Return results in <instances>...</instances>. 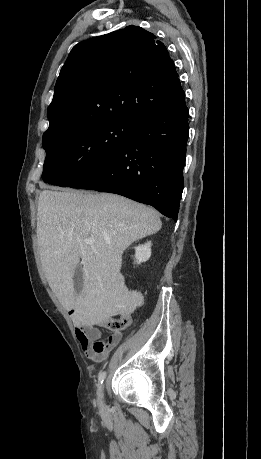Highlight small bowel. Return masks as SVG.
I'll use <instances>...</instances> for the list:
<instances>
[{
	"mask_svg": "<svg viewBox=\"0 0 261 459\" xmlns=\"http://www.w3.org/2000/svg\"><path fill=\"white\" fill-rule=\"evenodd\" d=\"M75 335L86 357L95 362L105 360L122 338V334L117 332L104 340L97 327L85 322L77 324Z\"/></svg>",
	"mask_w": 261,
	"mask_h": 459,
	"instance_id": "c3829d8e",
	"label": "small bowel"
}]
</instances>
